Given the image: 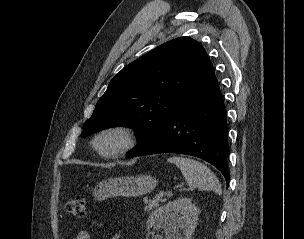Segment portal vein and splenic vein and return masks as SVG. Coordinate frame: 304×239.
I'll list each match as a JSON object with an SVG mask.
<instances>
[{"label": "portal vein and splenic vein", "mask_w": 304, "mask_h": 239, "mask_svg": "<svg viewBox=\"0 0 304 239\" xmlns=\"http://www.w3.org/2000/svg\"><path fill=\"white\" fill-rule=\"evenodd\" d=\"M167 195H168V196H171V195H172V192H171V191H168V192H167Z\"/></svg>", "instance_id": "18ae733b"}]
</instances>
